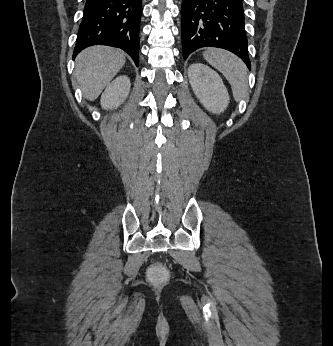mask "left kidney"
<instances>
[{"instance_id": "obj_1", "label": "left kidney", "mask_w": 333, "mask_h": 346, "mask_svg": "<svg viewBox=\"0 0 333 346\" xmlns=\"http://www.w3.org/2000/svg\"><path fill=\"white\" fill-rule=\"evenodd\" d=\"M192 90L202 105L214 114L222 113L229 104V94L219 74L202 63L188 68Z\"/></svg>"}]
</instances>
